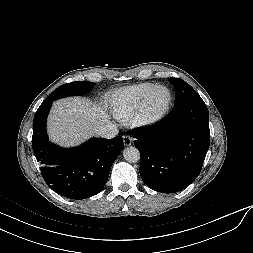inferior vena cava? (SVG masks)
Returning <instances> with one entry per match:
<instances>
[{"mask_svg": "<svg viewBox=\"0 0 253 253\" xmlns=\"http://www.w3.org/2000/svg\"><path fill=\"white\" fill-rule=\"evenodd\" d=\"M118 128L115 124H112L110 122L102 125V126H99L97 127L95 130H94V133L100 137H103V138H113L115 137L116 135H118Z\"/></svg>", "mask_w": 253, "mask_h": 253, "instance_id": "602c4592", "label": "inferior vena cava"}]
</instances>
